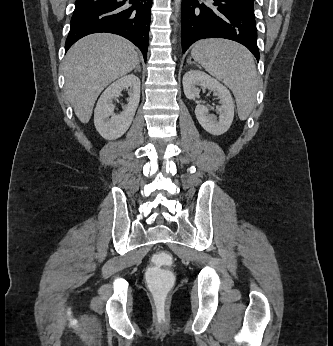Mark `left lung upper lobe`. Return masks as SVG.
<instances>
[{"mask_svg": "<svg viewBox=\"0 0 333 346\" xmlns=\"http://www.w3.org/2000/svg\"><path fill=\"white\" fill-rule=\"evenodd\" d=\"M243 1H245V2H247L249 4H251V5H253V3H254V0H243Z\"/></svg>", "mask_w": 333, "mask_h": 346, "instance_id": "obj_1", "label": "left lung upper lobe"}]
</instances>
